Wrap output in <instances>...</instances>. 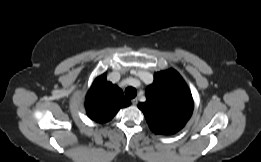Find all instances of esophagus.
Wrapping results in <instances>:
<instances>
[{"instance_id":"1","label":"esophagus","mask_w":261,"mask_h":162,"mask_svg":"<svg viewBox=\"0 0 261 162\" xmlns=\"http://www.w3.org/2000/svg\"><path fill=\"white\" fill-rule=\"evenodd\" d=\"M132 105L136 106L138 104V99L134 98L131 100Z\"/></svg>"}]
</instances>
